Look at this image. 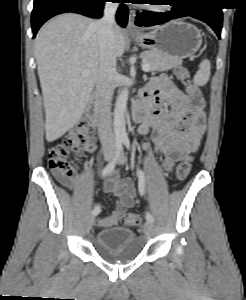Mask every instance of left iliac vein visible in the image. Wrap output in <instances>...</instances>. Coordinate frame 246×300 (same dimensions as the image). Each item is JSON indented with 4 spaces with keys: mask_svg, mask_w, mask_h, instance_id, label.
Wrapping results in <instances>:
<instances>
[{
    "mask_svg": "<svg viewBox=\"0 0 246 300\" xmlns=\"http://www.w3.org/2000/svg\"><path fill=\"white\" fill-rule=\"evenodd\" d=\"M126 161L124 154L121 155L119 159V164H123ZM143 232L146 236L150 237L154 233V225L150 221H146L143 226Z\"/></svg>",
    "mask_w": 246,
    "mask_h": 300,
    "instance_id": "1",
    "label": "left iliac vein"
}]
</instances>
